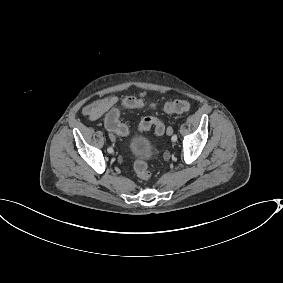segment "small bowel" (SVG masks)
<instances>
[{
	"label": "small bowel",
	"mask_w": 283,
	"mask_h": 283,
	"mask_svg": "<svg viewBox=\"0 0 283 283\" xmlns=\"http://www.w3.org/2000/svg\"><path fill=\"white\" fill-rule=\"evenodd\" d=\"M140 97L145 96V92L139 93ZM119 98L115 95H109L104 98L98 99L83 109V114L91 121L97 120L107 114L108 112L117 109Z\"/></svg>",
	"instance_id": "c3829d8e"
}]
</instances>
